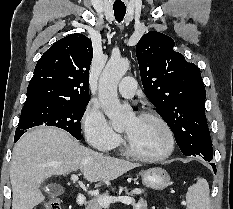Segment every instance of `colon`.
Here are the masks:
<instances>
[{
  "instance_id": "1",
  "label": "colon",
  "mask_w": 233,
  "mask_h": 209,
  "mask_svg": "<svg viewBox=\"0 0 233 209\" xmlns=\"http://www.w3.org/2000/svg\"><path fill=\"white\" fill-rule=\"evenodd\" d=\"M44 209H61V202L59 199H51L45 202Z\"/></svg>"
}]
</instances>
